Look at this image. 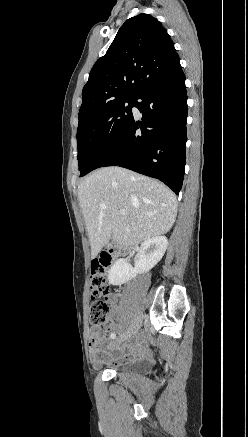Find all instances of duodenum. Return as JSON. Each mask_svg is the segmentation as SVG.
I'll return each instance as SVG.
<instances>
[{"mask_svg":"<svg viewBox=\"0 0 248 437\" xmlns=\"http://www.w3.org/2000/svg\"><path fill=\"white\" fill-rule=\"evenodd\" d=\"M100 254L103 257H105L110 264L116 259V256H117V252L116 251H114V250H109L108 251L106 248H103L100 251Z\"/></svg>","mask_w":248,"mask_h":437,"instance_id":"410a0bca","label":"duodenum"}]
</instances>
